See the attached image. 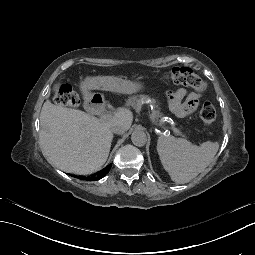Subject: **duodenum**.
<instances>
[{"mask_svg":"<svg viewBox=\"0 0 255 255\" xmlns=\"http://www.w3.org/2000/svg\"><path fill=\"white\" fill-rule=\"evenodd\" d=\"M81 93L84 98L86 110L95 117H101L105 113V102L102 96L92 91L87 84L82 86Z\"/></svg>","mask_w":255,"mask_h":255,"instance_id":"duodenum-1","label":"duodenum"}]
</instances>
